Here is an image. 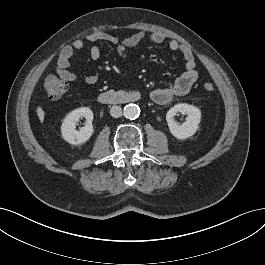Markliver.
<instances>
[{
  "label": "liver",
  "mask_w": 265,
  "mask_h": 265,
  "mask_svg": "<svg viewBox=\"0 0 265 265\" xmlns=\"http://www.w3.org/2000/svg\"><path fill=\"white\" fill-rule=\"evenodd\" d=\"M36 112H37V116H38L40 122L42 123L44 121L45 112L43 111V109L40 106L37 107Z\"/></svg>",
  "instance_id": "obj_1"
}]
</instances>
